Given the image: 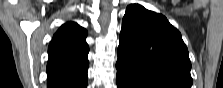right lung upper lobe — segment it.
Listing matches in <instances>:
<instances>
[{
  "label": "right lung upper lobe",
  "mask_w": 223,
  "mask_h": 88,
  "mask_svg": "<svg viewBox=\"0 0 223 88\" xmlns=\"http://www.w3.org/2000/svg\"><path fill=\"white\" fill-rule=\"evenodd\" d=\"M87 31L77 23L63 24L49 45L48 88H75L87 80Z\"/></svg>",
  "instance_id": "right-lung-upper-lobe-1"
}]
</instances>
